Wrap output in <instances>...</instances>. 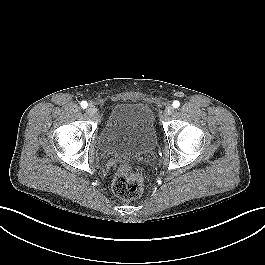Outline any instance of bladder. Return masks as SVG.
I'll return each instance as SVG.
<instances>
[{"label":"bladder","instance_id":"31cf9c89","mask_svg":"<svg viewBox=\"0 0 265 265\" xmlns=\"http://www.w3.org/2000/svg\"><path fill=\"white\" fill-rule=\"evenodd\" d=\"M157 142L155 114L140 102L117 103L110 110L98 137L100 150L109 156H138Z\"/></svg>","mask_w":265,"mask_h":265}]
</instances>
